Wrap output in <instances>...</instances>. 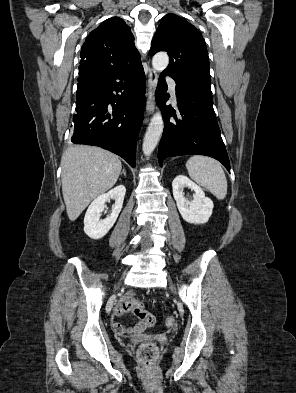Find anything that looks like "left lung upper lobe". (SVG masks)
Returning <instances> with one entry per match:
<instances>
[{
	"mask_svg": "<svg viewBox=\"0 0 296 393\" xmlns=\"http://www.w3.org/2000/svg\"><path fill=\"white\" fill-rule=\"evenodd\" d=\"M166 51L170 62L162 73L171 76L176 86H210L209 58L201 33L175 14L162 18L152 40L150 54Z\"/></svg>",
	"mask_w": 296,
	"mask_h": 393,
	"instance_id": "obj_1",
	"label": "left lung upper lobe"
}]
</instances>
